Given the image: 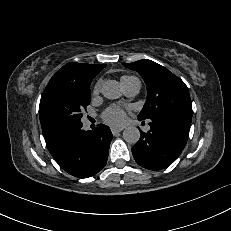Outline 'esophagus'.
<instances>
[{
  "mask_svg": "<svg viewBox=\"0 0 231 231\" xmlns=\"http://www.w3.org/2000/svg\"><path fill=\"white\" fill-rule=\"evenodd\" d=\"M123 130V128H111V131L113 133V135L118 134L119 132H121Z\"/></svg>",
  "mask_w": 231,
  "mask_h": 231,
  "instance_id": "1",
  "label": "esophagus"
}]
</instances>
